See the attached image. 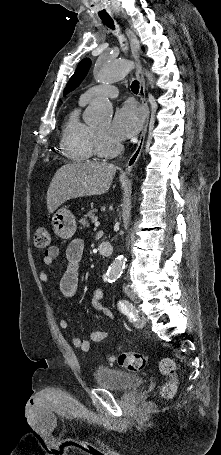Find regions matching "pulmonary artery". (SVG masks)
I'll list each match as a JSON object with an SVG mask.
<instances>
[{"label":"pulmonary artery","instance_id":"pulmonary-artery-1","mask_svg":"<svg viewBox=\"0 0 221 455\" xmlns=\"http://www.w3.org/2000/svg\"><path fill=\"white\" fill-rule=\"evenodd\" d=\"M97 96L115 98L118 96V89L115 86H112L110 84L92 86V87L86 89L82 93L80 98L83 99L85 102H88Z\"/></svg>","mask_w":221,"mask_h":455}]
</instances>
